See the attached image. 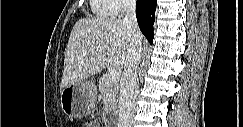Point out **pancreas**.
I'll use <instances>...</instances> for the list:
<instances>
[{"mask_svg": "<svg viewBox=\"0 0 243 127\" xmlns=\"http://www.w3.org/2000/svg\"><path fill=\"white\" fill-rule=\"evenodd\" d=\"M99 91L105 105V110H114L117 107L119 83L118 80H110L103 75L99 80Z\"/></svg>", "mask_w": 243, "mask_h": 127, "instance_id": "obj_1", "label": "pancreas"}]
</instances>
